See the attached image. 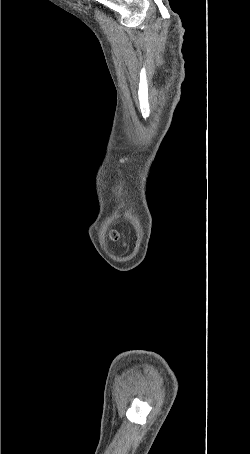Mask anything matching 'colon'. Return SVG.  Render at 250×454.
<instances>
[{
    "instance_id": "obj_1",
    "label": "colon",
    "mask_w": 250,
    "mask_h": 454,
    "mask_svg": "<svg viewBox=\"0 0 250 454\" xmlns=\"http://www.w3.org/2000/svg\"><path fill=\"white\" fill-rule=\"evenodd\" d=\"M112 238H113V239H118V238H119L118 232H113V233H112Z\"/></svg>"
}]
</instances>
